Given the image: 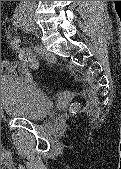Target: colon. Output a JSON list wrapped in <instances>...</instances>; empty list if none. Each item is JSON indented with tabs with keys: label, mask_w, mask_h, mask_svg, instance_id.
Returning a JSON list of instances; mask_svg holds the SVG:
<instances>
[{
	"label": "colon",
	"mask_w": 121,
	"mask_h": 169,
	"mask_svg": "<svg viewBox=\"0 0 121 169\" xmlns=\"http://www.w3.org/2000/svg\"><path fill=\"white\" fill-rule=\"evenodd\" d=\"M12 46L14 49H16L17 55L20 58V60L29 63L33 68L38 67V63L33 58L30 51L27 48L21 47L16 39L12 41Z\"/></svg>",
	"instance_id": "5ec220e1"
}]
</instances>
